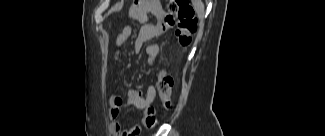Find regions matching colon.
<instances>
[{"label": "colon", "mask_w": 325, "mask_h": 136, "mask_svg": "<svg viewBox=\"0 0 325 136\" xmlns=\"http://www.w3.org/2000/svg\"><path fill=\"white\" fill-rule=\"evenodd\" d=\"M166 25L174 28V34L182 46L191 42V36L197 30L195 12L188 0H169L168 15L165 18ZM173 78L161 70L157 78V90L162 103L169 107L171 105Z\"/></svg>", "instance_id": "5ec220e1"}]
</instances>
